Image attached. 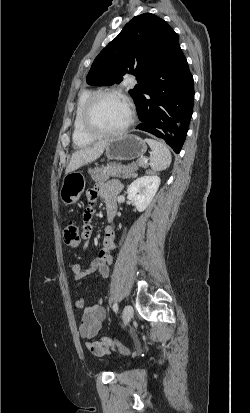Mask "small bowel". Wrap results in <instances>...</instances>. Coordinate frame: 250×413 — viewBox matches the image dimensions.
Wrapping results in <instances>:
<instances>
[{
  "label": "small bowel",
  "mask_w": 250,
  "mask_h": 413,
  "mask_svg": "<svg viewBox=\"0 0 250 413\" xmlns=\"http://www.w3.org/2000/svg\"><path fill=\"white\" fill-rule=\"evenodd\" d=\"M120 191L121 184L118 181L113 180L100 183L88 192L84 214L85 225L81 231V236L84 239L83 250L88 248L92 237V226L89 221L92 217L93 207L97 198L103 197L106 201V209H113L115 211L116 197ZM115 237L116 231L114 226L112 224L107 225L104 230L103 248L99 252L98 256L94 258L85 268L77 263L71 265V275L74 281L79 282L95 272H99L104 279L108 278L110 266L113 262L112 252L116 248ZM75 305L77 308L82 309L79 333L82 338L89 340L87 342L88 349L94 355H105L109 352V347H96L94 342L90 341L98 334L102 323L106 318V311L101 301L91 306H86L85 299L83 297H79L77 298Z\"/></svg>",
  "instance_id": "obj_1"
}]
</instances>
